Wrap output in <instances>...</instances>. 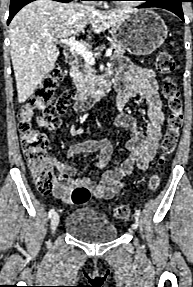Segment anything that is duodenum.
<instances>
[{
	"instance_id": "obj_1",
	"label": "duodenum",
	"mask_w": 193,
	"mask_h": 287,
	"mask_svg": "<svg viewBox=\"0 0 193 287\" xmlns=\"http://www.w3.org/2000/svg\"><path fill=\"white\" fill-rule=\"evenodd\" d=\"M76 59V53L72 49H67L65 51V61L68 65L72 66ZM110 82L111 80L109 78H105L99 87H96L90 91H82L74 103V110L83 111L95 103L105 93L107 88L110 86Z\"/></svg>"
}]
</instances>
